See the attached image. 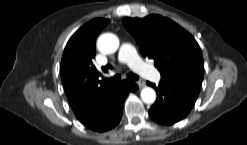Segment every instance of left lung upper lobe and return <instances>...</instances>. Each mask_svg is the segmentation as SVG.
I'll list each match as a JSON object with an SVG mask.
<instances>
[{
  "instance_id": "left-lung-upper-lobe-1",
  "label": "left lung upper lobe",
  "mask_w": 247,
  "mask_h": 145,
  "mask_svg": "<svg viewBox=\"0 0 247 145\" xmlns=\"http://www.w3.org/2000/svg\"><path fill=\"white\" fill-rule=\"evenodd\" d=\"M143 56L151 58L161 79L200 92L204 75L201 49L194 37L172 20L160 15L143 19L123 18Z\"/></svg>"
}]
</instances>
